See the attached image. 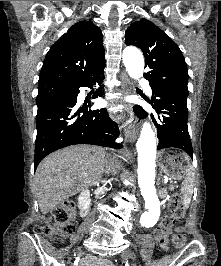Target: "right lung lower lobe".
<instances>
[{
    "label": "right lung lower lobe",
    "instance_id": "1",
    "mask_svg": "<svg viewBox=\"0 0 221 266\" xmlns=\"http://www.w3.org/2000/svg\"><path fill=\"white\" fill-rule=\"evenodd\" d=\"M104 70L88 77L69 91L49 99L38 106L36 116L37 137L35 142V169L48 154L74 144H92L119 149L115 140L119 130L113 125L105 108L89 110L93 103L79 106L77 95L80 87L101 86ZM102 87L93 99L102 97Z\"/></svg>",
    "mask_w": 221,
    "mask_h": 266
}]
</instances>
